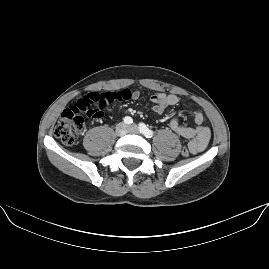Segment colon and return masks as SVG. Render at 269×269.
<instances>
[{"instance_id": "colon-1", "label": "colon", "mask_w": 269, "mask_h": 269, "mask_svg": "<svg viewBox=\"0 0 269 269\" xmlns=\"http://www.w3.org/2000/svg\"><path fill=\"white\" fill-rule=\"evenodd\" d=\"M129 96L130 93L127 90L106 92L102 95L95 93L82 94L75 106L62 111L54 128L55 136L66 145L75 144L77 138L86 130L88 124L101 117L102 109L107 105V102L127 99ZM82 112H86V118L82 115ZM180 154L188 157V148H181Z\"/></svg>"}]
</instances>
